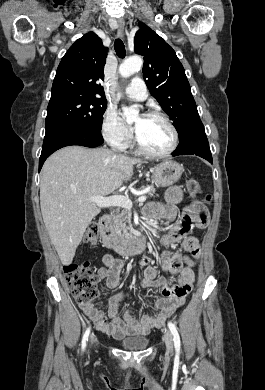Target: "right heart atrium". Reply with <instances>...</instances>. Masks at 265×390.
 <instances>
[{
    "label": "right heart atrium",
    "instance_id": "1",
    "mask_svg": "<svg viewBox=\"0 0 265 390\" xmlns=\"http://www.w3.org/2000/svg\"><path fill=\"white\" fill-rule=\"evenodd\" d=\"M104 139L117 149H126L132 139V132L125 126L114 108L108 107L101 122Z\"/></svg>",
    "mask_w": 265,
    "mask_h": 390
}]
</instances>
